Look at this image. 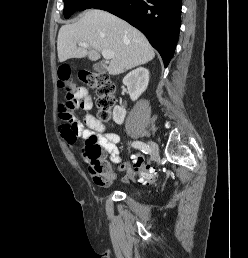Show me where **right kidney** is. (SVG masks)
<instances>
[{"mask_svg": "<svg viewBox=\"0 0 248 258\" xmlns=\"http://www.w3.org/2000/svg\"><path fill=\"white\" fill-rule=\"evenodd\" d=\"M149 82V71L144 67H139L128 73L123 84L127 86L128 93L132 101L137 100L140 95L146 90ZM126 116L125 108L115 106L113 109V120L117 124H122Z\"/></svg>", "mask_w": 248, "mask_h": 258, "instance_id": "1", "label": "right kidney"}]
</instances>
